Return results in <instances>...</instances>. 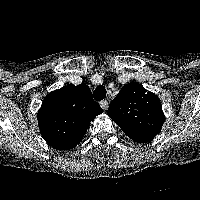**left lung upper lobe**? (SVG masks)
<instances>
[{"label":"left lung upper lobe","instance_id":"1","mask_svg":"<svg viewBox=\"0 0 200 200\" xmlns=\"http://www.w3.org/2000/svg\"><path fill=\"white\" fill-rule=\"evenodd\" d=\"M108 114L136 141L152 139L162 124L160 103L153 93L137 83L124 86L112 101Z\"/></svg>","mask_w":200,"mask_h":200}]
</instances>
